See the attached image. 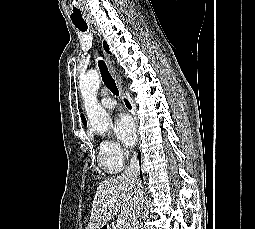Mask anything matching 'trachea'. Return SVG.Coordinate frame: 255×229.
I'll list each match as a JSON object with an SVG mask.
<instances>
[{
	"instance_id": "trachea-1",
	"label": "trachea",
	"mask_w": 255,
	"mask_h": 229,
	"mask_svg": "<svg viewBox=\"0 0 255 229\" xmlns=\"http://www.w3.org/2000/svg\"><path fill=\"white\" fill-rule=\"evenodd\" d=\"M80 31L85 32L88 29V26L86 23H75L74 24ZM98 66L100 69V73L102 76V80L104 84L107 86V88L116 96L119 95L118 88L116 86L115 80L111 76V74L108 71V68L103 60H100L98 62Z\"/></svg>"
}]
</instances>
